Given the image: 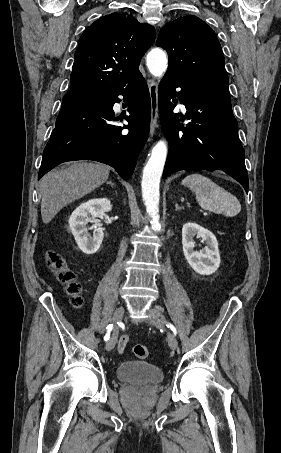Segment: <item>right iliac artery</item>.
<instances>
[{
    "label": "right iliac artery",
    "instance_id": "82829eb1",
    "mask_svg": "<svg viewBox=\"0 0 281 453\" xmlns=\"http://www.w3.org/2000/svg\"><path fill=\"white\" fill-rule=\"evenodd\" d=\"M112 328H113V324H109V325L106 327V329H107V334L104 336V340H105V341H108V340H109V338H110V332H111Z\"/></svg>",
    "mask_w": 281,
    "mask_h": 453
}]
</instances>
